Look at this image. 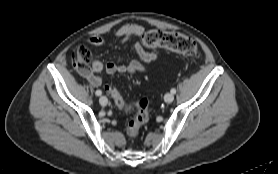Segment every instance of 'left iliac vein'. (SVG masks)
I'll use <instances>...</instances> for the list:
<instances>
[{"mask_svg":"<svg viewBox=\"0 0 278 174\" xmlns=\"http://www.w3.org/2000/svg\"><path fill=\"white\" fill-rule=\"evenodd\" d=\"M174 100V95L172 93H166L164 96V101L166 103H171Z\"/></svg>","mask_w":278,"mask_h":174,"instance_id":"1","label":"left iliac vein"}]
</instances>
